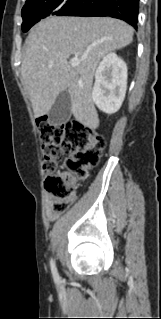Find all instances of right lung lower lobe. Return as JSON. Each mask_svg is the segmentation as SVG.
I'll return each instance as SVG.
<instances>
[{"label":"right lung lower lobe","mask_w":161,"mask_h":319,"mask_svg":"<svg viewBox=\"0 0 161 319\" xmlns=\"http://www.w3.org/2000/svg\"><path fill=\"white\" fill-rule=\"evenodd\" d=\"M139 0H86L68 16H110L137 28Z\"/></svg>","instance_id":"obj_1"}]
</instances>
